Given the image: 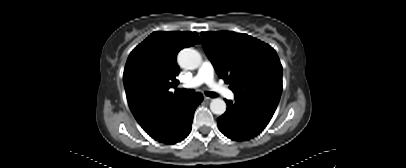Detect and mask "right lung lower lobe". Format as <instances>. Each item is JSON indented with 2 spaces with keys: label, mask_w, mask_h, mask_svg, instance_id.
I'll use <instances>...</instances> for the list:
<instances>
[{
  "label": "right lung lower lobe",
  "mask_w": 406,
  "mask_h": 168,
  "mask_svg": "<svg viewBox=\"0 0 406 168\" xmlns=\"http://www.w3.org/2000/svg\"><path fill=\"white\" fill-rule=\"evenodd\" d=\"M202 100L201 93L178 100L145 131L162 143L174 144L182 141L191 131L195 109Z\"/></svg>",
  "instance_id": "right-lung-lower-lobe-1"
}]
</instances>
